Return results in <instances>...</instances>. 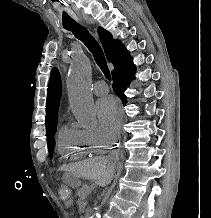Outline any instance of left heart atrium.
<instances>
[{"label":"left heart atrium","instance_id":"1","mask_svg":"<svg viewBox=\"0 0 211 218\" xmlns=\"http://www.w3.org/2000/svg\"><path fill=\"white\" fill-rule=\"evenodd\" d=\"M97 115L106 131L112 135L118 131L122 119V109L114 97L108 96L98 101Z\"/></svg>","mask_w":211,"mask_h":218}]
</instances>
